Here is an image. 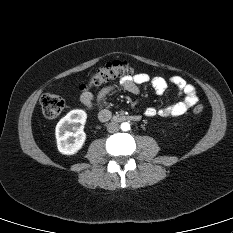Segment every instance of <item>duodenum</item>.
<instances>
[{
	"label": "duodenum",
	"mask_w": 233,
	"mask_h": 233,
	"mask_svg": "<svg viewBox=\"0 0 233 233\" xmlns=\"http://www.w3.org/2000/svg\"><path fill=\"white\" fill-rule=\"evenodd\" d=\"M110 119H113L114 121L117 122H124V121L138 122L140 121L141 117L139 115H119L113 118L111 116L102 117V121H108Z\"/></svg>",
	"instance_id": "410a0bca"
}]
</instances>
